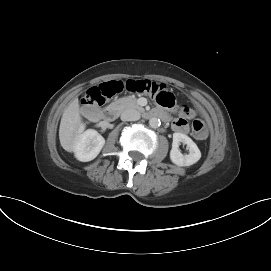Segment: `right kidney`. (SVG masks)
<instances>
[{
  "mask_svg": "<svg viewBox=\"0 0 271 271\" xmlns=\"http://www.w3.org/2000/svg\"><path fill=\"white\" fill-rule=\"evenodd\" d=\"M79 131L75 145V157L82 162H88L95 159L105 144V139L93 129Z\"/></svg>",
  "mask_w": 271,
  "mask_h": 271,
  "instance_id": "ca27d5eb",
  "label": "right kidney"
}]
</instances>
